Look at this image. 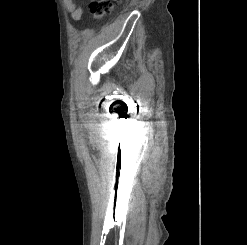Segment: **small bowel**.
<instances>
[{
  "mask_svg": "<svg viewBox=\"0 0 247 245\" xmlns=\"http://www.w3.org/2000/svg\"><path fill=\"white\" fill-rule=\"evenodd\" d=\"M65 8L70 12L72 19L80 20L84 15V10L78 7L74 0H63Z\"/></svg>",
  "mask_w": 247,
  "mask_h": 245,
  "instance_id": "small-bowel-1",
  "label": "small bowel"
}]
</instances>
